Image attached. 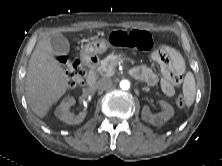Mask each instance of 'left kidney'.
Here are the masks:
<instances>
[{
    "mask_svg": "<svg viewBox=\"0 0 222 166\" xmlns=\"http://www.w3.org/2000/svg\"><path fill=\"white\" fill-rule=\"evenodd\" d=\"M159 104L165 109L164 112L152 114L149 110V107L144 106L141 113L142 119L155 126H160L168 121L171 117H173L174 109L169 103L165 101H159Z\"/></svg>",
    "mask_w": 222,
    "mask_h": 166,
    "instance_id": "1",
    "label": "left kidney"
}]
</instances>
